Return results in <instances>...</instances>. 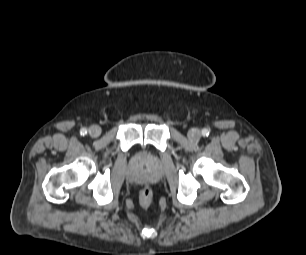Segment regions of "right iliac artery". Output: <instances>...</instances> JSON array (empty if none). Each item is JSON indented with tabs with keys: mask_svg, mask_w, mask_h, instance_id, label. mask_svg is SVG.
<instances>
[{
	"mask_svg": "<svg viewBox=\"0 0 306 255\" xmlns=\"http://www.w3.org/2000/svg\"><path fill=\"white\" fill-rule=\"evenodd\" d=\"M80 134H81L82 136L86 135V134H87V129H86V128H82V129L80 130Z\"/></svg>",
	"mask_w": 306,
	"mask_h": 255,
	"instance_id": "obj_1",
	"label": "right iliac artery"
}]
</instances>
